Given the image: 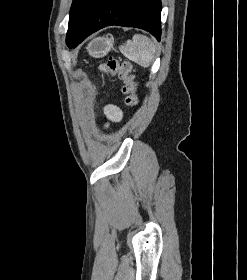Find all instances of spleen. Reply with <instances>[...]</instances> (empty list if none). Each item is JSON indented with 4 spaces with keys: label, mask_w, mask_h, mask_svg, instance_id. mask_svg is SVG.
Returning a JSON list of instances; mask_svg holds the SVG:
<instances>
[{
    "label": "spleen",
    "mask_w": 247,
    "mask_h": 280,
    "mask_svg": "<svg viewBox=\"0 0 247 280\" xmlns=\"http://www.w3.org/2000/svg\"><path fill=\"white\" fill-rule=\"evenodd\" d=\"M120 52L129 60L142 67H149L154 58L155 45L147 36L136 34L132 40L119 47Z\"/></svg>",
    "instance_id": "obj_1"
}]
</instances>
